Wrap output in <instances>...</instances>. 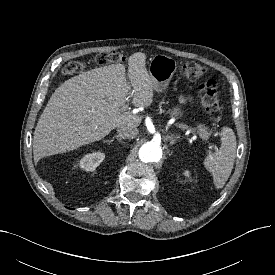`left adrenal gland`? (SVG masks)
Returning <instances> with one entry per match:
<instances>
[{
	"instance_id": "a2214340",
	"label": "left adrenal gland",
	"mask_w": 275,
	"mask_h": 275,
	"mask_svg": "<svg viewBox=\"0 0 275 275\" xmlns=\"http://www.w3.org/2000/svg\"><path fill=\"white\" fill-rule=\"evenodd\" d=\"M178 137H176L175 135H171V136H166V140H169L170 141V144H175L176 140H177Z\"/></svg>"
}]
</instances>
